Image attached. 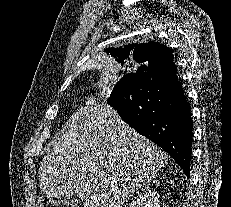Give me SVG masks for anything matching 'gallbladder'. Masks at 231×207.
<instances>
[{
  "label": "gallbladder",
  "mask_w": 231,
  "mask_h": 207,
  "mask_svg": "<svg viewBox=\"0 0 231 207\" xmlns=\"http://www.w3.org/2000/svg\"><path fill=\"white\" fill-rule=\"evenodd\" d=\"M65 203L72 205V207H78V205L83 203V200L76 195L70 194L63 196Z\"/></svg>",
  "instance_id": "gallbladder-1"
}]
</instances>
